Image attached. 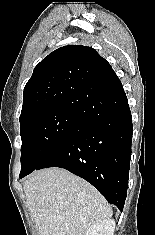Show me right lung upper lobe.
I'll return each mask as SVG.
<instances>
[{"instance_id": "right-lung-upper-lobe-1", "label": "right lung upper lobe", "mask_w": 155, "mask_h": 235, "mask_svg": "<svg viewBox=\"0 0 155 235\" xmlns=\"http://www.w3.org/2000/svg\"><path fill=\"white\" fill-rule=\"evenodd\" d=\"M118 79L110 64L93 48L67 45L50 53L33 71L23 92L21 115L44 106L87 110L85 92Z\"/></svg>"}]
</instances>
